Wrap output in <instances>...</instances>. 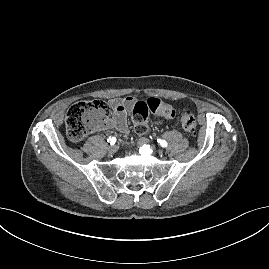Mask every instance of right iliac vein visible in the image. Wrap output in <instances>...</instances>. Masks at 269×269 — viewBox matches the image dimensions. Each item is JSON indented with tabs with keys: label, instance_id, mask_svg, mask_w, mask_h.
Returning a JSON list of instances; mask_svg holds the SVG:
<instances>
[{
	"label": "right iliac vein",
	"instance_id": "63e3f726",
	"mask_svg": "<svg viewBox=\"0 0 269 269\" xmlns=\"http://www.w3.org/2000/svg\"><path fill=\"white\" fill-rule=\"evenodd\" d=\"M107 149L109 153L113 154L117 151V146L109 145Z\"/></svg>",
	"mask_w": 269,
	"mask_h": 269
}]
</instances>
